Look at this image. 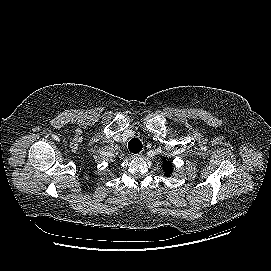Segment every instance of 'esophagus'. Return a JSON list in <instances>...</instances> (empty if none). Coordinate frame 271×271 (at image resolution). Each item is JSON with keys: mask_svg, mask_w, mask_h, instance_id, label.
Listing matches in <instances>:
<instances>
[{"mask_svg": "<svg viewBox=\"0 0 271 271\" xmlns=\"http://www.w3.org/2000/svg\"><path fill=\"white\" fill-rule=\"evenodd\" d=\"M142 153H136V154H132V157H141Z\"/></svg>", "mask_w": 271, "mask_h": 271, "instance_id": "esophagus-1", "label": "esophagus"}]
</instances>
